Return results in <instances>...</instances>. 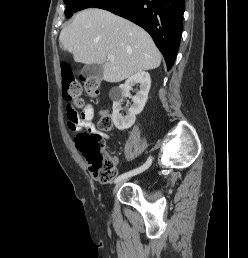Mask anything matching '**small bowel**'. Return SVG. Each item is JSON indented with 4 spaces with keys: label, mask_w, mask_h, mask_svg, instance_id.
Segmentation results:
<instances>
[{
    "label": "small bowel",
    "mask_w": 248,
    "mask_h": 258,
    "mask_svg": "<svg viewBox=\"0 0 248 258\" xmlns=\"http://www.w3.org/2000/svg\"><path fill=\"white\" fill-rule=\"evenodd\" d=\"M68 114H69L70 128L75 129V127H82L88 131L98 132L93 121L94 109L91 104L85 103L81 113L78 116L72 110H69ZM102 135L106 136L105 134H102Z\"/></svg>",
    "instance_id": "c3829d8e"
}]
</instances>
